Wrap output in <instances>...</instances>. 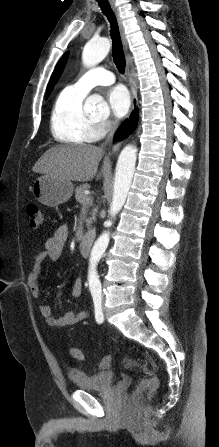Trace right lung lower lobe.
Wrapping results in <instances>:
<instances>
[{
	"instance_id": "1",
	"label": "right lung lower lobe",
	"mask_w": 219,
	"mask_h": 447,
	"mask_svg": "<svg viewBox=\"0 0 219 447\" xmlns=\"http://www.w3.org/2000/svg\"><path fill=\"white\" fill-rule=\"evenodd\" d=\"M138 121V111L137 109L134 110V112L131 114L130 119L126 120L121 124V126L117 129L115 133V138L123 137L129 133H132V131L135 129Z\"/></svg>"
}]
</instances>
